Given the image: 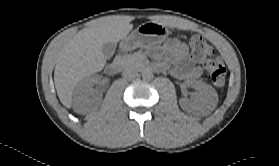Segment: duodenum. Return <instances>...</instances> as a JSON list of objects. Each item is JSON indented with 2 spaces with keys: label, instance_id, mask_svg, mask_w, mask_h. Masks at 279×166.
Instances as JSON below:
<instances>
[{
  "label": "duodenum",
  "instance_id": "1",
  "mask_svg": "<svg viewBox=\"0 0 279 166\" xmlns=\"http://www.w3.org/2000/svg\"><path fill=\"white\" fill-rule=\"evenodd\" d=\"M124 65V60L121 55L117 56L107 67V71L109 74H117L119 73ZM147 69L150 70H158L160 67L158 65H148Z\"/></svg>",
  "mask_w": 279,
  "mask_h": 166
}]
</instances>
